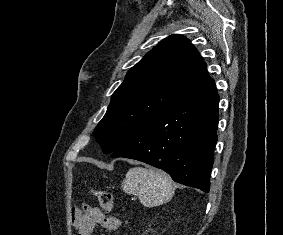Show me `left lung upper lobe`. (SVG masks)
<instances>
[{
	"mask_svg": "<svg viewBox=\"0 0 283 235\" xmlns=\"http://www.w3.org/2000/svg\"><path fill=\"white\" fill-rule=\"evenodd\" d=\"M187 38L171 35L132 67L113 93L94 136L112 153L155 118L201 87L210 77Z\"/></svg>",
	"mask_w": 283,
	"mask_h": 235,
	"instance_id": "5c2ea615",
	"label": "left lung upper lobe"
}]
</instances>
